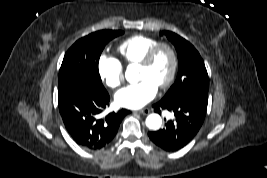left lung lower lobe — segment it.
I'll return each instance as SVG.
<instances>
[{"mask_svg":"<svg viewBox=\"0 0 267 178\" xmlns=\"http://www.w3.org/2000/svg\"><path fill=\"white\" fill-rule=\"evenodd\" d=\"M207 99L188 95L176 100L162 99L153 105L154 111L168 110L175 118L163 129L149 132L151 141L165 151H177L186 146L198 133L205 119Z\"/></svg>","mask_w":267,"mask_h":178,"instance_id":"0a47b994","label":"left lung lower lobe"}]
</instances>
